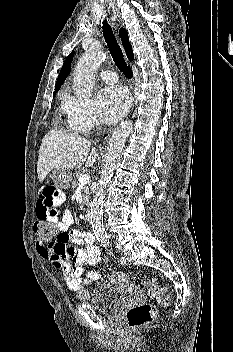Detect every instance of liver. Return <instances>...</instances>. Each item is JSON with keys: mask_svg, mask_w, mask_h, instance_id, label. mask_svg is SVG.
Wrapping results in <instances>:
<instances>
[{"mask_svg": "<svg viewBox=\"0 0 233 352\" xmlns=\"http://www.w3.org/2000/svg\"><path fill=\"white\" fill-rule=\"evenodd\" d=\"M91 141L74 134L58 130L49 131L44 138L39 150L37 163L38 179L42 182L53 169L71 170L91 167L98 153L95 147L91 149ZM90 152V153H89Z\"/></svg>", "mask_w": 233, "mask_h": 352, "instance_id": "liver-1", "label": "liver"}]
</instances>
